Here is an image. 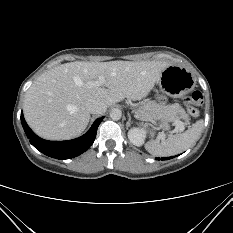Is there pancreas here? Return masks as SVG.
<instances>
[{
    "label": "pancreas",
    "mask_w": 233,
    "mask_h": 233,
    "mask_svg": "<svg viewBox=\"0 0 233 233\" xmlns=\"http://www.w3.org/2000/svg\"><path fill=\"white\" fill-rule=\"evenodd\" d=\"M134 113L138 119L153 120V106L150 102L143 103L141 106H134Z\"/></svg>",
    "instance_id": "pancreas-1"
}]
</instances>
